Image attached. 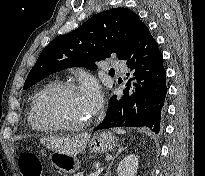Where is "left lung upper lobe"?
<instances>
[{"mask_svg":"<svg viewBox=\"0 0 205 176\" xmlns=\"http://www.w3.org/2000/svg\"><path fill=\"white\" fill-rule=\"evenodd\" d=\"M143 25L139 16L127 8H114L92 16L76 30L56 37L42 50L24 89L69 67L96 70L95 62L112 53L122 59Z\"/></svg>","mask_w":205,"mask_h":176,"instance_id":"1","label":"left lung upper lobe"}]
</instances>
